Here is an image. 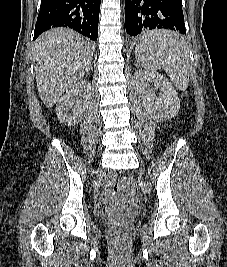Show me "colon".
<instances>
[{"label":"colon","mask_w":227,"mask_h":267,"mask_svg":"<svg viewBox=\"0 0 227 267\" xmlns=\"http://www.w3.org/2000/svg\"><path fill=\"white\" fill-rule=\"evenodd\" d=\"M112 191L116 195H127L137 192L138 186L135 180L130 176H122L120 178L114 179L111 183ZM116 245L120 248H124L125 236L120 230L115 232L114 236Z\"/></svg>","instance_id":"colon-1"}]
</instances>
